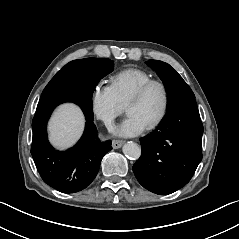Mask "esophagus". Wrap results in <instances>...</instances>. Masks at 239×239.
<instances>
[{
  "label": "esophagus",
  "instance_id": "esophagus-1",
  "mask_svg": "<svg viewBox=\"0 0 239 239\" xmlns=\"http://www.w3.org/2000/svg\"><path fill=\"white\" fill-rule=\"evenodd\" d=\"M123 144H124V141H123V140H113V141H112V147H113L114 149L120 148Z\"/></svg>",
  "mask_w": 239,
  "mask_h": 239
}]
</instances>
